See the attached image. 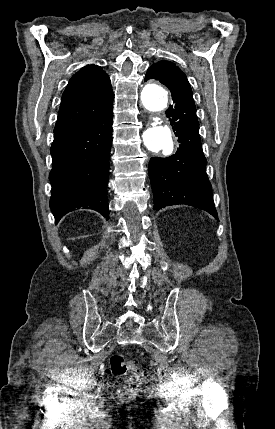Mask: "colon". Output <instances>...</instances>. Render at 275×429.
Returning a JSON list of instances; mask_svg holds the SVG:
<instances>
[{
	"instance_id": "colon-1",
	"label": "colon",
	"mask_w": 275,
	"mask_h": 429,
	"mask_svg": "<svg viewBox=\"0 0 275 429\" xmlns=\"http://www.w3.org/2000/svg\"><path fill=\"white\" fill-rule=\"evenodd\" d=\"M110 370L113 375L124 379L125 383L119 391L123 400H131L136 396L138 386L145 379V374L134 361L126 359L121 354H114L110 358ZM131 374L130 377H127Z\"/></svg>"
}]
</instances>
